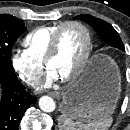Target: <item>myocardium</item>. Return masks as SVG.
Here are the masks:
<instances>
[{"label":"myocardium","mask_w":130,"mask_h":130,"mask_svg":"<svg viewBox=\"0 0 130 130\" xmlns=\"http://www.w3.org/2000/svg\"><path fill=\"white\" fill-rule=\"evenodd\" d=\"M69 26H77L79 27L81 30H83V32L86 35V49L84 52V55L78 65V67L67 77L62 78L61 80L63 82H71L74 81L75 79H77L85 70L90 56H91V52H92V33L90 31V29L82 22L80 21H76V20H71V21H66L64 23H62V25L58 28V30L54 33L47 54L44 58V66L47 68L49 62L56 56L57 52H58V48H59V42H60V37L63 33V31L69 27Z\"/></svg>","instance_id":"f54148a6"}]
</instances>
